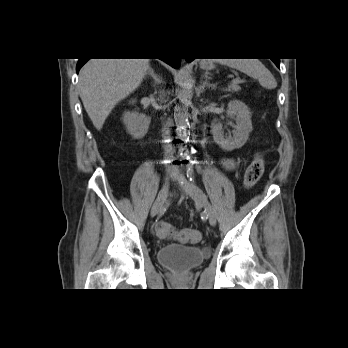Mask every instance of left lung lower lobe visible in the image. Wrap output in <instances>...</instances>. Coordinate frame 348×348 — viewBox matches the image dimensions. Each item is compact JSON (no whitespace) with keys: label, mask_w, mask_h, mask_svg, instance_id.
<instances>
[{"label":"left lung lower lobe","mask_w":348,"mask_h":348,"mask_svg":"<svg viewBox=\"0 0 348 348\" xmlns=\"http://www.w3.org/2000/svg\"><path fill=\"white\" fill-rule=\"evenodd\" d=\"M187 60V62H191L193 59H186ZM273 60V59H272ZM273 62L276 64V66L278 67V68H280V60L279 59H276V60H273Z\"/></svg>","instance_id":"0a47b994"}]
</instances>
